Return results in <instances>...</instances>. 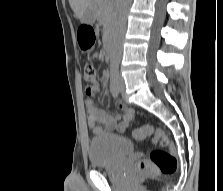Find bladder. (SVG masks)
<instances>
[{
    "mask_svg": "<svg viewBox=\"0 0 223 191\" xmlns=\"http://www.w3.org/2000/svg\"><path fill=\"white\" fill-rule=\"evenodd\" d=\"M133 143L119 135H100L91 139L88 156L92 167L113 166L133 152Z\"/></svg>",
    "mask_w": 223,
    "mask_h": 191,
    "instance_id": "bladder-1",
    "label": "bladder"
}]
</instances>
